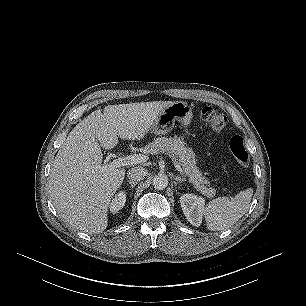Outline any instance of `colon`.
Segmentation results:
<instances>
[{"label":"colon","instance_id":"5ec220e1","mask_svg":"<svg viewBox=\"0 0 306 306\" xmlns=\"http://www.w3.org/2000/svg\"><path fill=\"white\" fill-rule=\"evenodd\" d=\"M201 118L213 132L223 130L227 122L226 116L212 107H204L201 110ZM229 148L236 163L241 167H246L249 163V154L243 139L240 136H233L229 140Z\"/></svg>","mask_w":306,"mask_h":306}]
</instances>
